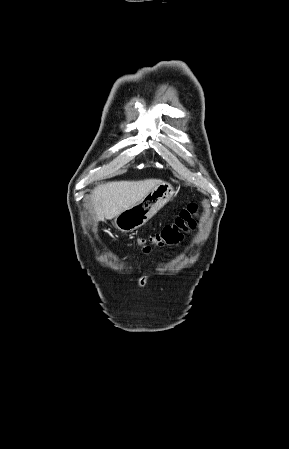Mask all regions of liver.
I'll return each instance as SVG.
<instances>
[{
    "label": "liver",
    "mask_w": 289,
    "mask_h": 449,
    "mask_svg": "<svg viewBox=\"0 0 289 449\" xmlns=\"http://www.w3.org/2000/svg\"><path fill=\"white\" fill-rule=\"evenodd\" d=\"M158 179L119 181L98 186L90 196L97 221L115 218L124 210L142 200L156 185Z\"/></svg>",
    "instance_id": "liver-1"
}]
</instances>
